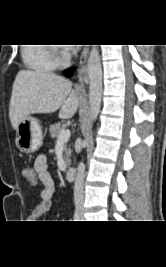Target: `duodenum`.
<instances>
[{
	"label": "duodenum",
	"mask_w": 166,
	"mask_h": 267,
	"mask_svg": "<svg viewBox=\"0 0 166 267\" xmlns=\"http://www.w3.org/2000/svg\"><path fill=\"white\" fill-rule=\"evenodd\" d=\"M65 177L69 181L74 180L76 177V169L74 167H69L65 173Z\"/></svg>",
	"instance_id": "1"
}]
</instances>
